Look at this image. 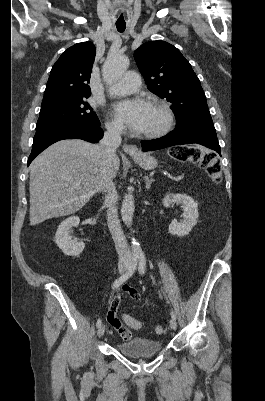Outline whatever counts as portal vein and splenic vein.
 <instances>
[{"label":"portal vein and splenic vein","mask_w":265,"mask_h":401,"mask_svg":"<svg viewBox=\"0 0 265 401\" xmlns=\"http://www.w3.org/2000/svg\"><path fill=\"white\" fill-rule=\"evenodd\" d=\"M178 180H179V181H183V180H184V177H183L182 174H179V175H178Z\"/></svg>","instance_id":"portal-vein-and-splenic-vein-1"}]
</instances>
